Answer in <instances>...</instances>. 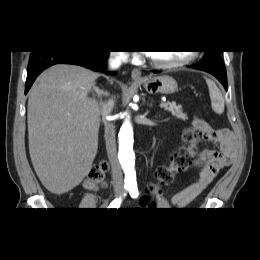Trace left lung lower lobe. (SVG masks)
Instances as JSON below:
<instances>
[{
  "mask_svg": "<svg viewBox=\"0 0 260 260\" xmlns=\"http://www.w3.org/2000/svg\"><path fill=\"white\" fill-rule=\"evenodd\" d=\"M190 67L212 74L222 83V85L226 90L228 89L227 74L221 58L219 57L203 58L200 62L191 65Z\"/></svg>",
  "mask_w": 260,
  "mask_h": 260,
  "instance_id": "1",
  "label": "left lung lower lobe"
}]
</instances>
